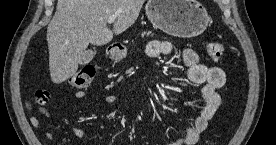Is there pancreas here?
Segmentation results:
<instances>
[{
    "mask_svg": "<svg viewBox=\"0 0 276 145\" xmlns=\"http://www.w3.org/2000/svg\"><path fill=\"white\" fill-rule=\"evenodd\" d=\"M151 33H142L141 37L143 38L145 35L148 37Z\"/></svg>",
    "mask_w": 276,
    "mask_h": 145,
    "instance_id": "pancreas-1",
    "label": "pancreas"
}]
</instances>
